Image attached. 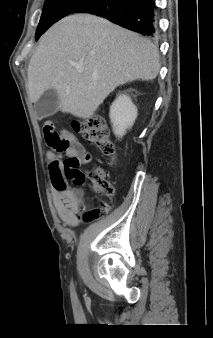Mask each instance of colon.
Segmentation results:
<instances>
[{"label":"colon","instance_id":"1","mask_svg":"<svg viewBox=\"0 0 213 338\" xmlns=\"http://www.w3.org/2000/svg\"><path fill=\"white\" fill-rule=\"evenodd\" d=\"M78 132L93 147L97 148L103 155L108 156L113 163L115 158L114 144L109 137L106 126L101 118L94 117L88 120L75 121ZM69 140L62 139L58 145V150L64 152L69 149ZM51 184L59 187L62 183L72 181L77 186L88 185L94 192L101 193L107 197L114 194V187L104 178L103 170L100 166L85 172L80 169L79 160L73 156L65 158L63 164L53 161L49 165ZM110 209L108 203L103 202L98 207L88 211L85 216L87 221H94L103 217Z\"/></svg>","mask_w":213,"mask_h":338}]
</instances>
